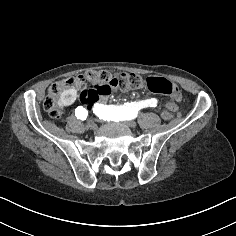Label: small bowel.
Instances as JSON below:
<instances>
[{
    "label": "small bowel",
    "instance_id": "small-bowel-1",
    "mask_svg": "<svg viewBox=\"0 0 236 236\" xmlns=\"http://www.w3.org/2000/svg\"><path fill=\"white\" fill-rule=\"evenodd\" d=\"M148 100L150 101V103H149V107H150V108H155V107L158 106L159 100H158L157 98H150V99H148ZM105 101H106V98L103 97V98H102V103H105ZM167 107H168L170 110H175V109L177 108V104H176L175 101L170 100V101L167 102Z\"/></svg>",
    "mask_w": 236,
    "mask_h": 236
}]
</instances>
